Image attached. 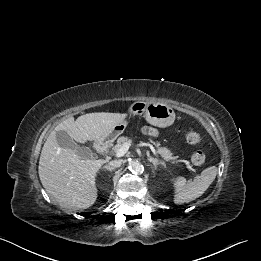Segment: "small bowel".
<instances>
[{
    "instance_id": "c3829d8e",
    "label": "small bowel",
    "mask_w": 261,
    "mask_h": 261,
    "mask_svg": "<svg viewBox=\"0 0 261 261\" xmlns=\"http://www.w3.org/2000/svg\"><path fill=\"white\" fill-rule=\"evenodd\" d=\"M143 132L149 136H155L158 133L157 129L152 126H145Z\"/></svg>"
}]
</instances>
